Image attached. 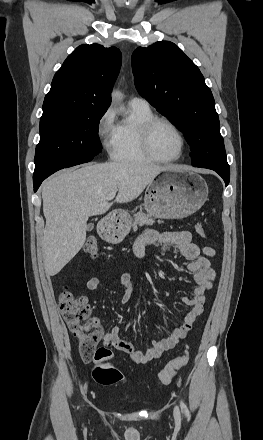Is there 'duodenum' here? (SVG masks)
<instances>
[{"instance_id": "obj_1", "label": "duodenum", "mask_w": 263, "mask_h": 440, "mask_svg": "<svg viewBox=\"0 0 263 440\" xmlns=\"http://www.w3.org/2000/svg\"><path fill=\"white\" fill-rule=\"evenodd\" d=\"M113 221H118L115 217L112 218Z\"/></svg>"}]
</instances>
